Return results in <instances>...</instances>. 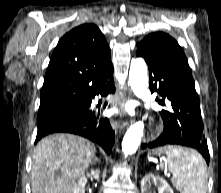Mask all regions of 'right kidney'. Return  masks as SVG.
<instances>
[{
    "mask_svg": "<svg viewBox=\"0 0 221 193\" xmlns=\"http://www.w3.org/2000/svg\"><path fill=\"white\" fill-rule=\"evenodd\" d=\"M99 170H91L90 173H87V176H91L96 180H99ZM87 183V178L85 176H82L79 178L77 185L74 188L73 193H85V185Z\"/></svg>",
    "mask_w": 221,
    "mask_h": 193,
    "instance_id": "right-kidney-1",
    "label": "right kidney"
}]
</instances>
